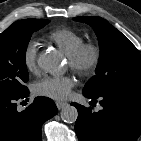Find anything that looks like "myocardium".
Returning a JSON list of instances; mask_svg holds the SVG:
<instances>
[{
	"label": "myocardium",
	"mask_w": 141,
	"mask_h": 141,
	"mask_svg": "<svg viewBox=\"0 0 141 141\" xmlns=\"http://www.w3.org/2000/svg\"><path fill=\"white\" fill-rule=\"evenodd\" d=\"M102 49L98 43L87 42L68 56L71 70L81 77L92 76L100 65Z\"/></svg>",
	"instance_id": "f54148a6"
}]
</instances>
